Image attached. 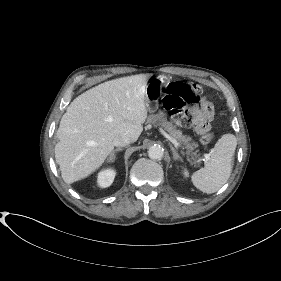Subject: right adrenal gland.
<instances>
[{"label":"right adrenal gland","instance_id":"obj_1","mask_svg":"<svg viewBox=\"0 0 281 281\" xmlns=\"http://www.w3.org/2000/svg\"><path fill=\"white\" fill-rule=\"evenodd\" d=\"M121 148H117L115 150H113V152L110 154L109 158L107 159L108 162H114L116 159L115 153H117L118 151H120Z\"/></svg>","mask_w":281,"mask_h":281}]
</instances>
